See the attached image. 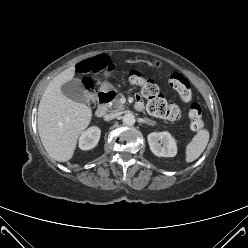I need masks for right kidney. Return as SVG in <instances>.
<instances>
[{
	"label": "right kidney",
	"mask_w": 248,
	"mask_h": 248,
	"mask_svg": "<svg viewBox=\"0 0 248 248\" xmlns=\"http://www.w3.org/2000/svg\"><path fill=\"white\" fill-rule=\"evenodd\" d=\"M101 131L98 127H91L83 132L79 138V147L82 150H90L99 142Z\"/></svg>",
	"instance_id": "ca27d5eb"
}]
</instances>
